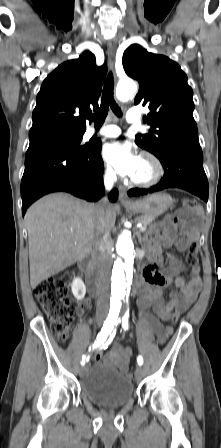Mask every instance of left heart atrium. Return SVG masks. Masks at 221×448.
Masks as SVG:
<instances>
[{
  "instance_id": "left-heart-atrium-1",
  "label": "left heart atrium",
  "mask_w": 221,
  "mask_h": 448,
  "mask_svg": "<svg viewBox=\"0 0 221 448\" xmlns=\"http://www.w3.org/2000/svg\"><path fill=\"white\" fill-rule=\"evenodd\" d=\"M103 156L118 173L131 178H134L141 164V158L126 143L113 142L106 145L103 149Z\"/></svg>"
}]
</instances>
